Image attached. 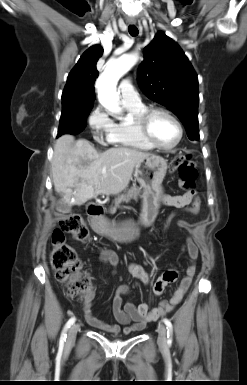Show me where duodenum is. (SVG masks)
<instances>
[{
    "label": "duodenum",
    "mask_w": 247,
    "mask_h": 385,
    "mask_svg": "<svg viewBox=\"0 0 247 385\" xmlns=\"http://www.w3.org/2000/svg\"><path fill=\"white\" fill-rule=\"evenodd\" d=\"M88 214L93 218L92 227L100 232L101 231V218L104 214L103 207L97 202H91L87 207Z\"/></svg>",
    "instance_id": "duodenum-1"
}]
</instances>
